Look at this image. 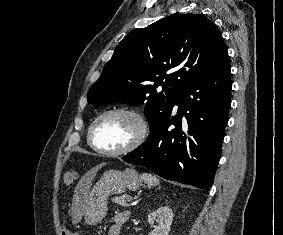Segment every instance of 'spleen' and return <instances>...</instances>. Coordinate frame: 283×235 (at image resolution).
I'll return each mask as SVG.
<instances>
[{
	"mask_svg": "<svg viewBox=\"0 0 283 235\" xmlns=\"http://www.w3.org/2000/svg\"><path fill=\"white\" fill-rule=\"evenodd\" d=\"M141 178L149 186H157L160 183V180L155 175H152V174H149V173H143L141 175Z\"/></svg>",
	"mask_w": 283,
	"mask_h": 235,
	"instance_id": "obj_1",
	"label": "spleen"
}]
</instances>
